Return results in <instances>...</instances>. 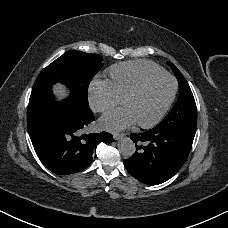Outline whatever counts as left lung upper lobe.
Returning a JSON list of instances; mask_svg holds the SVG:
<instances>
[{
	"mask_svg": "<svg viewBox=\"0 0 228 228\" xmlns=\"http://www.w3.org/2000/svg\"><path fill=\"white\" fill-rule=\"evenodd\" d=\"M179 83V97L168 115L157 125L163 128H197V108L192 91L178 68L168 62Z\"/></svg>",
	"mask_w": 228,
	"mask_h": 228,
	"instance_id": "left-lung-upper-lobe-1",
	"label": "left lung upper lobe"
}]
</instances>
